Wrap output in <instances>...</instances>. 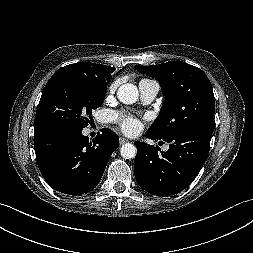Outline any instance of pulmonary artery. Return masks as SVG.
<instances>
[{"mask_svg":"<svg viewBox=\"0 0 253 253\" xmlns=\"http://www.w3.org/2000/svg\"><path fill=\"white\" fill-rule=\"evenodd\" d=\"M160 86L157 81L144 79L139 83L140 97L144 104L151 103L158 94Z\"/></svg>","mask_w":253,"mask_h":253,"instance_id":"pulmonary-artery-1","label":"pulmonary artery"}]
</instances>
